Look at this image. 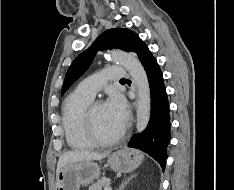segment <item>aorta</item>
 <instances>
[{
	"mask_svg": "<svg viewBox=\"0 0 234 190\" xmlns=\"http://www.w3.org/2000/svg\"><path fill=\"white\" fill-rule=\"evenodd\" d=\"M110 58L122 65L130 74L137 89V132H142L148 125L151 110L150 87L147 74L136 55L120 50H113Z\"/></svg>",
	"mask_w": 234,
	"mask_h": 190,
	"instance_id": "obj_1",
	"label": "aorta"
}]
</instances>
